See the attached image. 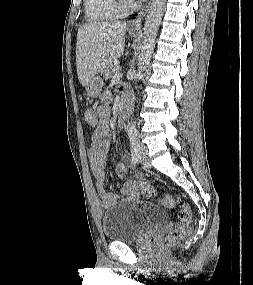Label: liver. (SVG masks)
I'll return each instance as SVG.
<instances>
[{"instance_id": "1", "label": "liver", "mask_w": 253, "mask_h": 285, "mask_svg": "<svg viewBox=\"0 0 253 285\" xmlns=\"http://www.w3.org/2000/svg\"><path fill=\"white\" fill-rule=\"evenodd\" d=\"M126 22H91L77 33L76 67L82 86L120 58L125 49Z\"/></svg>"}]
</instances>
